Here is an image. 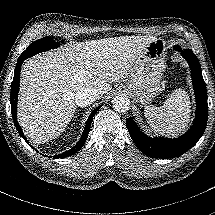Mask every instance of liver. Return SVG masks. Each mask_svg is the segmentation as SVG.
<instances>
[{
	"label": "liver",
	"instance_id": "liver-1",
	"mask_svg": "<svg viewBox=\"0 0 215 215\" xmlns=\"http://www.w3.org/2000/svg\"><path fill=\"white\" fill-rule=\"evenodd\" d=\"M157 38L120 36L64 45L23 63L17 119L31 144L58 137L76 111L75 93L95 89L103 96L132 73L135 62Z\"/></svg>",
	"mask_w": 215,
	"mask_h": 215
}]
</instances>
